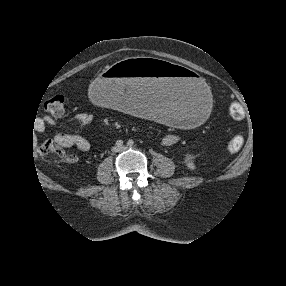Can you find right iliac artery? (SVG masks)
<instances>
[{"mask_svg": "<svg viewBox=\"0 0 286 286\" xmlns=\"http://www.w3.org/2000/svg\"><path fill=\"white\" fill-rule=\"evenodd\" d=\"M116 146L117 147H122L123 146V141L122 140H117L116 141Z\"/></svg>", "mask_w": 286, "mask_h": 286, "instance_id": "obj_1", "label": "right iliac artery"}]
</instances>
